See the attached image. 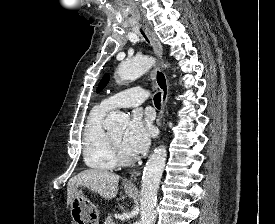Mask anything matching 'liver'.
Instances as JSON below:
<instances>
[{"label":"liver","instance_id":"1","mask_svg":"<svg viewBox=\"0 0 275 224\" xmlns=\"http://www.w3.org/2000/svg\"><path fill=\"white\" fill-rule=\"evenodd\" d=\"M119 175L104 169H87L68 181L67 204L70 205L72 197L78 192V187H85L98 193L104 199H112L118 193Z\"/></svg>","mask_w":275,"mask_h":224}]
</instances>
